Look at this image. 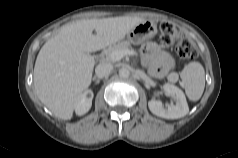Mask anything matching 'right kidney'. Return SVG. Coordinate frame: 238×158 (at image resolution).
Instances as JSON below:
<instances>
[{
  "instance_id": "right-kidney-1",
  "label": "right kidney",
  "mask_w": 238,
  "mask_h": 158,
  "mask_svg": "<svg viewBox=\"0 0 238 158\" xmlns=\"http://www.w3.org/2000/svg\"><path fill=\"white\" fill-rule=\"evenodd\" d=\"M93 92L91 90L85 91L76 104L75 111L77 115H84L92 106Z\"/></svg>"
}]
</instances>
